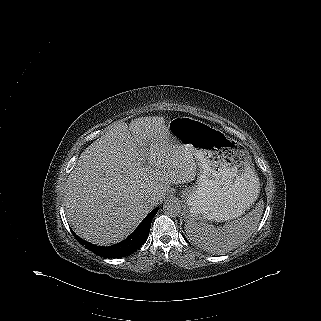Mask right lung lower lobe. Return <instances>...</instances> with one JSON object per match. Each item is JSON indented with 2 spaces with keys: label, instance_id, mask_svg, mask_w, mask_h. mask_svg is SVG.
<instances>
[{
  "label": "right lung lower lobe",
  "instance_id": "right-lung-lower-lobe-1",
  "mask_svg": "<svg viewBox=\"0 0 321 321\" xmlns=\"http://www.w3.org/2000/svg\"><path fill=\"white\" fill-rule=\"evenodd\" d=\"M157 211H158V208H155L153 211H151L128 238H126L122 242L117 243L116 245H113V246H107V247L96 246L94 244H91L89 242L82 240L73 231L72 233L80 244L84 245L88 250L94 252L95 254L101 257H105V258L124 257L136 251L147 240L152 219L156 215Z\"/></svg>",
  "mask_w": 321,
  "mask_h": 321
}]
</instances>
